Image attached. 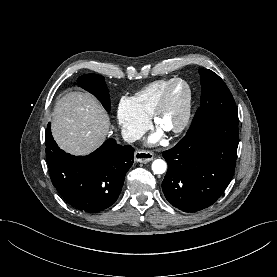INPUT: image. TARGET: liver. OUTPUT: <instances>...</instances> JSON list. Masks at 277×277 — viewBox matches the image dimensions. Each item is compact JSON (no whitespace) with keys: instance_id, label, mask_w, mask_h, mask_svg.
<instances>
[{"instance_id":"6515ba94","label":"liver","mask_w":277,"mask_h":277,"mask_svg":"<svg viewBox=\"0 0 277 277\" xmlns=\"http://www.w3.org/2000/svg\"><path fill=\"white\" fill-rule=\"evenodd\" d=\"M110 127L109 116L88 93L69 92L54 108L52 135L71 154L86 155L98 148L112 134Z\"/></svg>"}]
</instances>
